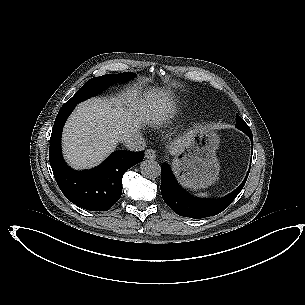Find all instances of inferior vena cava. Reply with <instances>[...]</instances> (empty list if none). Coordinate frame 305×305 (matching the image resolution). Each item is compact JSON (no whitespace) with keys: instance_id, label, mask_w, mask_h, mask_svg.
I'll list each match as a JSON object with an SVG mask.
<instances>
[{"instance_id":"602c4592","label":"inferior vena cava","mask_w":305,"mask_h":305,"mask_svg":"<svg viewBox=\"0 0 305 305\" xmlns=\"http://www.w3.org/2000/svg\"><path fill=\"white\" fill-rule=\"evenodd\" d=\"M125 146L130 151H143L146 148V141L142 136L135 135L124 139Z\"/></svg>"}]
</instances>
